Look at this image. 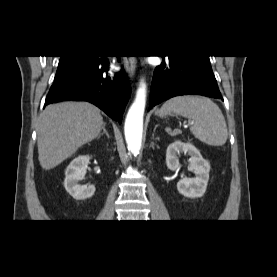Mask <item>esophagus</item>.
<instances>
[{"label": "esophagus", "instance_id": "1", "mask_svg": "<svg viewBox=\"0 0 277 277\" xmlns=\"http://www.w3.org/2000/svg\"><path fill=\"white\" fill-rule=\"evenodd\" d=\"M123 62H124V68H125L126 72L130 76H133L135 74V70H136V59H135V57H125Z\"/></svg>", "mask_w": 277, "mask_h": 277}]
</instances>
